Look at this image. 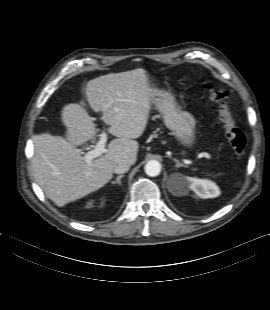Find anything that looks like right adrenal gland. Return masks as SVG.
<instances>
[{
	"mask_svg": "<svg viewBox=\"0 0 270 310\" xmlns=\"http://www.w3.org/2000/svg\"><path fill=\"white\" fill-rule=\"evenodd\" d=\"M124 177V175H119L116 177V180L111 181V184H118L121 185V179Z\"/></svg>",
	"mask_w": 270,
	"mask_h": 310,
	"instance_id": "obj_1",
	"label": "right adrenal gland"
}]
</instances>
